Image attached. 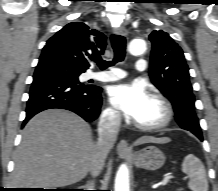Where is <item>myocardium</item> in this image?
<instances>
[{"mask_svg":"<svg viewBox=\"0 0 218 191\" xmlns=\"http://www.w3.org/2000/svg\"><path fill=\"white\" fill-rule=\"evenodd\" d=\"M150 97L157 101L163 110V117L160 121L152 124H141L137 121L134 122V125L143 131H155L167 127L173 120L174 109L171 102L161 93L153 92L150 94Z\"/></svg>","mask_w":218,"mask_h":191,"instance_id":"myocardium-1","label":"myocardium"}]
</instances>
